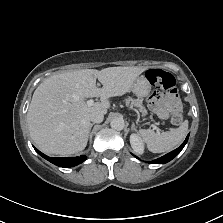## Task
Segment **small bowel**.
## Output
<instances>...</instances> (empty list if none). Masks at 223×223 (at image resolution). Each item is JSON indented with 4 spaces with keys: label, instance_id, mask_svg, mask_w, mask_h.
<instances>
[{
    "label": "small bowel",
    "instance_id": "c3829d8e",
    "mask_svg": "<svg viewBox=\"0 0 223 223\" xmlns=\"http://www.w3.org/2000/svg\"><path fill=\"white\" fill-rule=\"evenodd\" d=\"M150 108L161 118H167L169 113L181 110V101L177 94L166 91H155L148 99Z\"/></svg>",
    "mask_w": 223,
    "mask_h": 223
}]
</instances>
